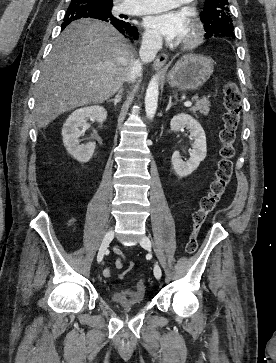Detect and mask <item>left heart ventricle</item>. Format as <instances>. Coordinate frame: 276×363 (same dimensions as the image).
<instances>
[{
	"label": "left heart ventricle",
	"mask_w": 276,
	"mask_h": 363,
	"mask_svg": "<svg viewBox=\"0 0 276 363\" xmlns=\"http://www.w3.org/2000/svg\"><path fill=\"white\" fill-rule=\"evenodd\" d=\"M189 33H190V28H189V31H188V33L186 34L185 38L189 35Z\"/></svg>",
	"instance_id": "left-heart-ventricle-1"
}]
</instances>
